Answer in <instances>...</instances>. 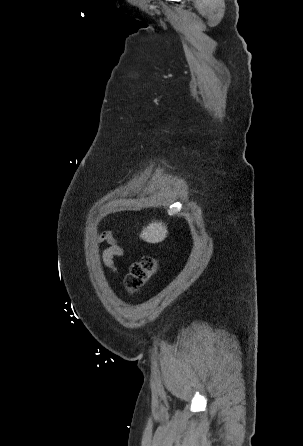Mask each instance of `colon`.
<instances>
[{
    "label": "colon",
    "instance_id": "colon-1",
    "mask_svg": "<svg viewBox=\"0 0 303 446\" xmlns=\"http://www.w3.org/2000/svg\"><path fill=\"white\" fill-rule=\"evenodd\" d=\"M158 261L145 256L131 264L126 277V286L130 292L139 290L158 270Z\"/></svg>",
    "mask_w": 303,
    "mask_h": 446
}]
</instances>
